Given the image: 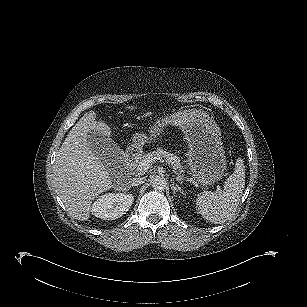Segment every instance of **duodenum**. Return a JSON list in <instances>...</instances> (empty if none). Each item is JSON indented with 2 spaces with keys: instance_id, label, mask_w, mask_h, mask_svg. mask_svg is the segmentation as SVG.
I'll use <instances>...</instances> for the list:
<instances>
[{
  "instance_id": "410a0bca",
  "label": "duodenum",
  "mask_w": 307,
  "mask_h": 307,
  "mask_svg": "<svg viewBox=\"0 0 307 307\" xmlns=\"http://www.w3.org/2000/svg\"><path fill=\"white\" fill-rule=\"evenodd\" d=\"M136 153L135 152H128L127 154V161L131 162L135 158Z\"/></svg>"
}]
</instances>
